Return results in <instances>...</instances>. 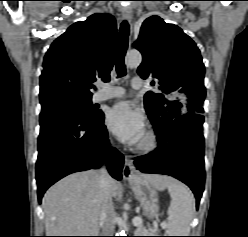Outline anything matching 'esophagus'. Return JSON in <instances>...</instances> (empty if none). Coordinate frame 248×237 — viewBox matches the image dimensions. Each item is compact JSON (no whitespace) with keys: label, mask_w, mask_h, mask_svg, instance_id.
I'll return each mask as SVG.
<instances>
[{"label":"esophagus","mask_w":248,"mask_h":237,"mask_svg":"<svg viewBox=\"0 0 248 237\" xmlns=\"http://www.w3.org/2000/svg\"><path fill=\"white\" fill-rule=\"evenodd\" d=\"M122 17L128 21L132 18V10L129 7H124L121 10ZM137 172L134 167L132 159L128 156L125 157L123 166V178L127 181H133L136 178Z\"/></svg>","instance_id":"34e87169"}]
</instances>
